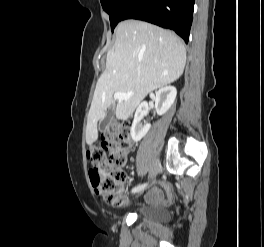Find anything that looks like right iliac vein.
I'll return each instance as SVG.
<instances>
[{
	"instance_id": "obj_1",
	"label": "right iliac vein",
	"mask_w": 264,
	"mask_h": 247,
	"mask_svg": "<svg viewBox=\"0 0 264 247\" xmlns=\"http://www.w3.org/2000/svg\"><path fill=\"white\" fill-rule=\"evenodd\" d=\"M159 168H160L159 161H155V163L153 164V166H152V168L150 170V178L153 179L157 175V173L159 171Z\"/></svg>"
}]
</instances>
